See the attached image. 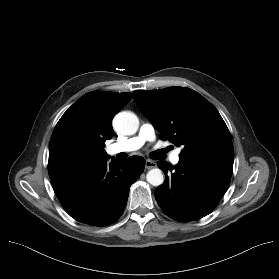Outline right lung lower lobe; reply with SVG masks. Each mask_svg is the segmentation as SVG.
Returning <instances> with one entry per match:
<instances>
[{"instance_id": "1", "label": "right lung lower lobe", "mask_w": 279, "mask_h": 279, "mask_svg": "<svg viewBox=\"0 0 279 279\" xmlns=\"http://www.w3.org/2000/svg\"><path fill=\"white\" fill-rule=\"evenodd\" d=\"M144 158L112 159L51 176L56 196L67 213L93 226L109 225L123 214L129 188L143 172Z\"/></svg>"}]
</instances>
